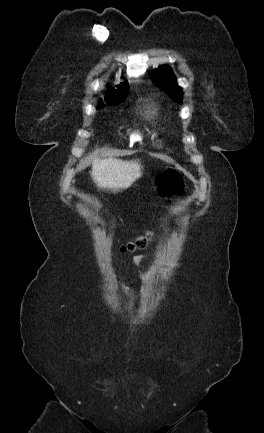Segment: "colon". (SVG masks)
Returning a JSON list of instances; mask_svg holds the SVG:
<instances>
[{"mask_svg": "<svg viewBox=\"0 0 264 433\" xmlns=\"http://www.w3.org/2000/svg\"><path fill=\"white\" fill-rule=\"evenodd\" d=\"M157 185L159 194L164 197L180 195L183 191L181 176L172 168H168L158 175ZM154 237L155 234L149 231L144 235L138 236L135 240L122 245L120 249L122 252H126L145 247L151 240L154 239Z\"/></svg>", "mask_w": 264, "mask_h": 433, "instance_id": "1", "label": "colon"}]
</instances>
